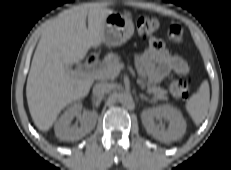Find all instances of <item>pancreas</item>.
<instances>
[{
    "mask_svg": "<svg viewBox=\"0 0 231 170\" xmlns=\"http://www.w3.org/2000/svg\"><path fill=\"white\" fill-rule=\"evenodd\" d=\"M120 59L121 58L116 53L107 54V56L103 60L102 69H108L111 66H116V65L121 64ZM138 83L140 84V86L142 88L147 86V92L150 94H153L155 99H159V100H166L167 99V91L166 90H164L158 86L152 85L149 82H145L142 78L138 79Z\"/></svg>",
    "mask_w": 231,
    "mask_h": 170,
    "instance_id": "pancreas-1",
    "label": "pancreas"
}]
</instances>
